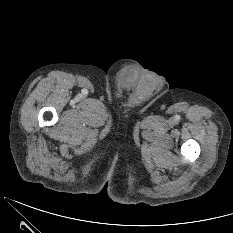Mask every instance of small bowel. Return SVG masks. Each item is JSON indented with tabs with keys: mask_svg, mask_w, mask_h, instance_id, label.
Returning <instances> with one entry per match:
<instances>
[{
	"mask_svg": "<svg viewBox=\"0 0 233 233\" xmlns=\"http://www.w3.org/2000/svg\"><path fill=\"white\" fill-rule=\"evenodd\" d=\"M123 79L128 83L131 80V77L128 74H125Z\"/></svg>",
	"mask_w": 233,
	"mask_h": 233,
	"instance_id": "c3829d8e",
	"label": "small bowel"
}]
</instances>
